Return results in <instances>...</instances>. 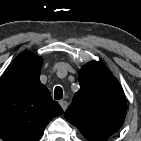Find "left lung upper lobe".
<instances>
[{
  "instance_id": "left-lung-upper-lobe-1",
  "label": "left lung upper lobe",
  "mask_w": 141,
  "mask_h": 141,
  "mask_svg": "<svg viewBox=\"0 0 141 141\" xmlns=\"http://www.w3.org/2000/svg\"><path fill=\"white\" fill-rule=\"evenodd\" d=\"M80 90L73 97L65 118L89 141H105L123 124L126 98L121 85L100 62L83 66L78 77Z\"/></svg>"
}]
</instances>
